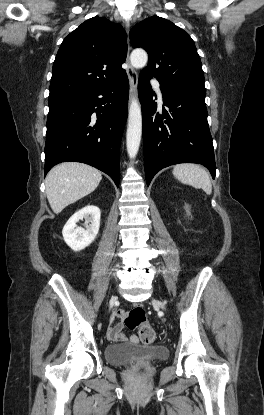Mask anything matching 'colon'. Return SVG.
I'll list each match as a JSON object with an SVG mask.
<instances>
[{
  "label": "colon",
  "instance_id": "obj_1",
  "mask_svg": "<svg viewBox=\"0 0 264 415\" xmlns=\"http://www.w3.org/2000/svg\"><path fill=\"white\" fill-rule=\"evenodd\" d=\"M125 325L130 329L138 328V335L143 344L150 345L156 341V332L154 328L145 323V310L142 305L133 307L125 319ZM144 369L142 366L138 369V374L142 375Z\"/></svg>",
  "mask_w": 264,
  "mask_h": 415
}]
</instances>
